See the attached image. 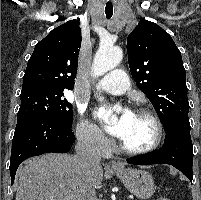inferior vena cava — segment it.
<instances>
[{
	"label": "inferior vena cava",
	"mask_w": 201,
	"mask_h": 200,
	"mask_svg": "<svg viewBox=\"0 0 201 200\" xmlns=\"http://www.w3.org/2000/svg\"><path fill=\"white\" fill-rule=\"evenodd\" d=\"M75 149L76 169L80 174L78 200H96L92 172L100 165L101 160L96 139L79 136Z\"/></svg>",
	"instance_id": "602c4592"
}]
</instances>
